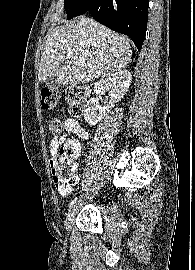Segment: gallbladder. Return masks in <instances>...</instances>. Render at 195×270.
Wrapping results in <instances>:
<instances>
[{"label":"gallbladder","instance_id":"bac80fb5","mask_svg":"<svg viewBox=\"0 0 195 270\" xmlns=\"http://www.w3.org/2000/svg\"><path fill=\"white\" fill-rule=\"evenodd\" d=\"M45 86L50 90H57L60 87L59 82L57 81L56 73L51 75L46 81Z\"/></svg>","mask_w":195,"mask_h":270}]
</instances>
